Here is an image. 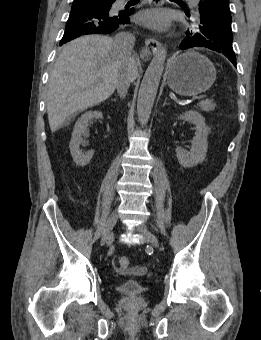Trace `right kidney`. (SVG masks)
<instances>
[{"label":"right kidney","mask_w":261,"mask_h":340,"mask_svg":"<svg viewBox=\"0 0 261 340\" xmlns=\"http://www.w3.org/2000/svg\"><path fill=\"white\" fill-rule=\"evenodd\" d=\"M94 118L96 119L103 118L102 112L88 111L84 113L77 120L75 127L73 129L69 148H70L73 161L76 163L77 166H81V167L86 166L94 155L93 150H90L84 154L80 150V145L81 143H83L82 136L87 132L89 121L93 120Z\"/></svg>","instance_id":"obj_1"}]
</instances>
